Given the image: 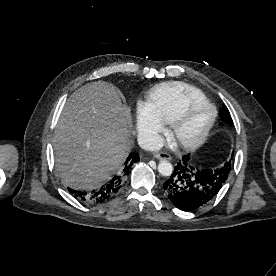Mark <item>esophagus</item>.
<instances>
[{"label":"esophagus","instance_id":"esophagus-1","mask_svg":"<svg viewBox=\"0 0 276 276\" xmlns=\"http://www.w3.org/2000/svg\"><path fill=\"white\" fill-rule=\"evenodd\" d=\"M154 156L157 159H165V160H170L171 159L170 155L166 152H156V153H154Z\"/></svg>","mask_w":276,"mask_h":276}]
</instances>
